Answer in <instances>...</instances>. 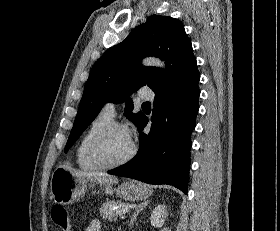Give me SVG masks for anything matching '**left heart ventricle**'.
<instances>
[{"instance_id":"b2bd125f","label":"left heart ventricle","mask_w":280,"mask_h":231,"mask_svg":"<svg viewBox=\"0 0 280 231\" xmlns=\"http://www.w3.org/2000/svg\"><path fill=\"white\" fill-rule=\"evenodd\" d=\"M131 144L127 141L124 129H113L104 138L99 147V156L109 162L117 161L129 151Z\"/></svg>"}]
</instances>
